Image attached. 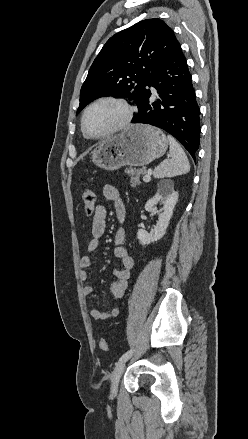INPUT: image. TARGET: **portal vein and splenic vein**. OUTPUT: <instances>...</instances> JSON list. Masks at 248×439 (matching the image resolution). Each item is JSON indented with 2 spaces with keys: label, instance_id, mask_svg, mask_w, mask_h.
Segmentation results:
<instances>
[{
  "label": "portal vein and splenic vein",
  "instance_id": "1",
  "mask_svg": "<svg viewBox=\"0 0 248 439\" xmlns=\"http://www.w3.org/2000/svg\"><path fill=\"white\" fill-rule=\"evenodd\" d=\"M150 175H151V172L149 171V172L147 173V175H145V176L143 177V180H144L145 182H149V181H150Z\"/></svg>",
  "mask_w": 248,
  "mask_h": 439
}]
</instances>
